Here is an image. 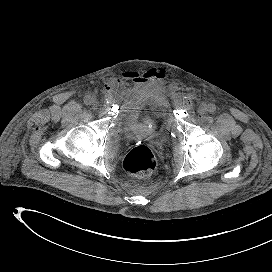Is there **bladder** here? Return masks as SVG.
Wrapping results in <instances>:
<instances>
[{
    "label": "bladder",
    "mask_w": 272,
    "mask_h": 272,
    "mask_svg": "<svg viewBox=\"0 0 272 272\" xmlns=\"http://www.w3.org/2000/svg\"><path fill=\"white\" fill-rule=\"evenodd\" d=\"M121 122L127 138L151 139L155 136L159 124L170 128L172 118L165 108L143 113L140 105L126 103L121 114Z\"/></svg>",
    "instance_id": "bladder-1"
}]
</instances>
